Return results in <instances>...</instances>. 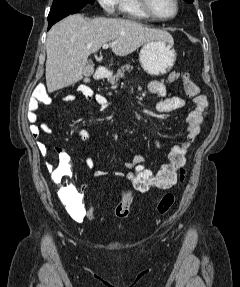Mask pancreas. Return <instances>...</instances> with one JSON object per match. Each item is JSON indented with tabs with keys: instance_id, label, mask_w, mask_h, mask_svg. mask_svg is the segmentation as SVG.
<instances>
[{
	"instance_id": "cf45deb5",
	"label": "pancreas",
	"mask_w": 240,
	"mask_h": 287,
	"mask_svg": "<svg viewBox=\"0 0 240 287\" xmlns=\"http://www.w3.org/2000/svg\"><path fill=\"white\" fill-rule=\"evenodd\" d=\"M133 70V66H131L130 64H126V65H123L121 66L120 69H118L117 73L114 75V76H111L108 81L111 83V84H114L116 83L120 78H123L124 75H125V72L128 71H132ZM179 77V74L178 73H171L169 76H168V82H173L175 81L176 79H178Z\"/></svg>"
}]
</instances>
